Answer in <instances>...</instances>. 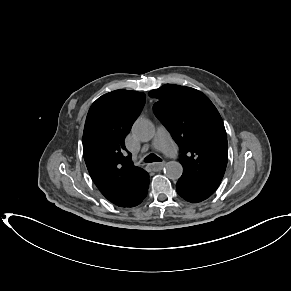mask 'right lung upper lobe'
I'll list each match as a JSON object with an SVG mask.
<instances>
[{
	"label": "right lung upper lobe",
	"mask_w": 291,
	"mask_h": 291,
	"mask_svg": "<svg viewBox=\"0 0 291 291\" xmlns=\"http://www.w3.org/2000/svg\"><path fill=\"white\" fill-rule=\"evenodd\" d=\"M144 93L115 90L90 107L84 132L83 155L97 188L112 203H132L149 187V174L133 165L124 139L141 113Z\"/></svg>",
	"instance_id": "cb5924a9"
}]
</instances>
